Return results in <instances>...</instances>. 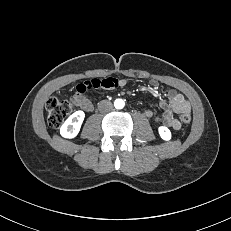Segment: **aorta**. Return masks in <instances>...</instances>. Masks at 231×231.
<instances>
[{
    "mask_svg": "<svg viewBox=\"0 0 231 231\" xmlns=\"http://www.w3.org/2000/svg\"><path fill=\"white\" fill-rule=\"evenodd\" d=\"M114 106L116 109H122L125 106V102L122 99H116L114 101Z\"/></svg>",
    "mask_w": 231,
    "mask_h": 231,
    "instance_id": "762f6f07",
    "label": "aorta"
}]
</instances>
